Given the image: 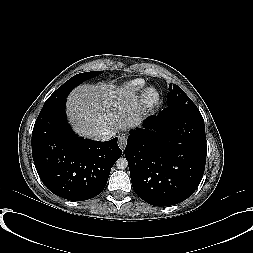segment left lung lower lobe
<instances>
[{"instance_id":"obj_1","label":"left lung lower lobe","mask_w":253,"mask_h":253,"mask_svg":"<svg viewBox=\"0 0 253 253\" xmlns=\"http://www.w3.org/2000/svg\"><path fill=\"white\" fill-rule=\"evenodd\" d=\"M130 132L125 148L135 193L154 206L187 199L205 169V125L199 110L167 107Z\"/></svg>"}]
</instances>
